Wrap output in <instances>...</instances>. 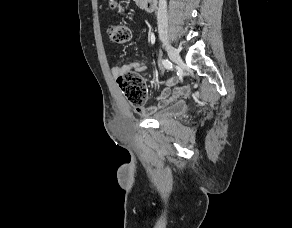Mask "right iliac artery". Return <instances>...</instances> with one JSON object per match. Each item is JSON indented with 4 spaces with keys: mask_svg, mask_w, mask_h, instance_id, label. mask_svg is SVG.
Instances as JSON below:
<instances>
[{
    "mask_svg": "<svg viewBox=\"0 0 292 228\" xmlns=\"http://www.w3.org/2000/svg\"><path fill=\"white\" fill-rule=\"evenodd\" d=\"M162 65L166 68V69H172L173 65L172 63L168 60V59H163L161 61Z\"/></svg>",
    "mask_w": 292,
    "mask_h": 228,
    "instance_id": "1",
    "label": "right iliac artery"
}]
</instances>
